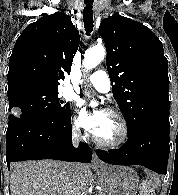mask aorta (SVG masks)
Listing matches in <instances>:
<instances>
[{
    "label": "aorta",
    "mask_w": 178,
    "mask_h": 195,
    "mask_svg": "<svg viewBox=\"0 0 178 195\" xmlns=\"http://www.w3.org/2000/svg\"><path fill=\"white\" fill-rule=\"evenodd\" d=\"M104 57L105 48L103 46H95L85 53L83 66L86 70L93 69L101 63Z\"/></svg>",
    "instance_id": "1"
}]
</instances>
